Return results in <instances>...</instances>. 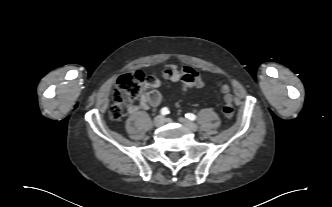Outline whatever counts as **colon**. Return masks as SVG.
Returning <instances> with one entry per match:
<instances>
[{"instance_id": "1", "label": "colon", "mask_w": 332, "mask_h": 207, "mask_svg": "<svg viewBox=\"0 0 332 207\" xmlns=\"http://www.w3.org/2000/svg\"><path fill=\"white\" fill-rule=\"evenodd\" d=\"M165 78L171 77V71H163ZM144 75L140 71H133L122 75L116 82L113 90V104L110 107L109 116L113 120L121 119L126 111L127 105L130 104L142 90ZM220 91L223 95L224 106L223 115L227 121H231L234 115L233 96L228 85L221 84Z\"/></svg>"}]
</instances>
